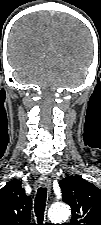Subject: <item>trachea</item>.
<instances>
[{
  "mask_svg": "<svg viewBox=\"0 0 101 225\" xmlns=\"http://www.w3.org/2000/svg\"><path fill=\"white\" fill-rule=\"evenodd\" d=\"M46 198H47V188L40 187L37 191L35 198V214L37 217L38 223L41 225L44 219V211L46 207Z\"/></svg>",
  "mask_w": 101,
  "mask_h": 225,
  "instance_id": "obj_1",
  "label": "trachea"
}]
</instances>
